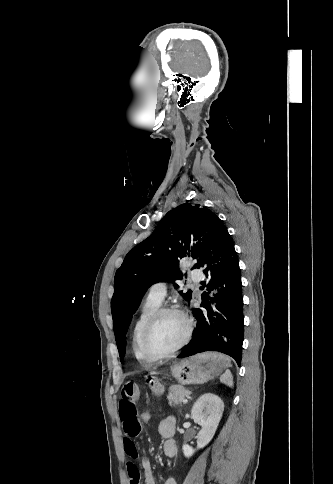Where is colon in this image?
<instances>
[{
	"instance_id": "obj_1",
	"label": "colon",
	"mask_w": 333,
	"mask_h": 484,
	"mask_svg": "<svg viewBox=\"0 0 333 484\" xmlns=\"http://www.w3.org/2000/svg\"><path fill=\"white\" fill-rule=\"evenodd\" d=\"M152 415L148 410H143L139 416L142 425H148L151 422Z\"/></svg>"
}]
</instances>
